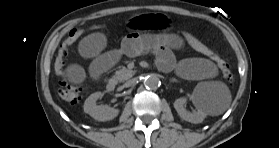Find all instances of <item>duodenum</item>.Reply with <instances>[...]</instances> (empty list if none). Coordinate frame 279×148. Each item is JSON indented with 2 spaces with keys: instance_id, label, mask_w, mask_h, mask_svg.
<instances>
[{
  "instance_id": "1",
  "label": "duodenum",
  "mask_w": 279,
  "mask_h": 148,
  "mask_svg": "<svg viewBox=\"0 0 279 148\" xmlns=\"http://www.w3.org/2000/svg\"><path fill=\"white\" fill-rule=\"evenodd\" d=\"M116 85H117V82L114 78H110L106 83L108 91H114L116 88Z\"/></svg>"
}]
</instances>
